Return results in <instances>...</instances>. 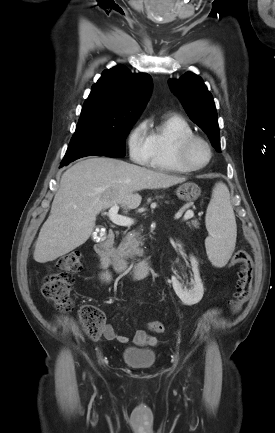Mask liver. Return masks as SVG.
I'll list each match as a JSON object with an SVG mask.
<instances>
[{"instance_id":"obj_1","label":"liver","mask_w":275,"mask_h":433,"mask_svg":"<svg viewBox=\"0 0 275 433\" xmlns=\"http://www.w3.org/2000/svg\"><path fill=\"white\" fill-rule=\"evenodd\" d=\"M177 177L122 160L93 157L66 170L55 194L50 215L36 241L34 260L46 263L84 244L96 216L114 205L137 208L143 189L169 188L185 182Z\"/></svg>"}]
</instances>
